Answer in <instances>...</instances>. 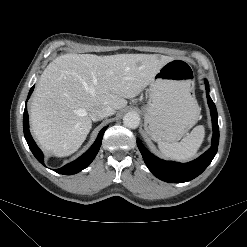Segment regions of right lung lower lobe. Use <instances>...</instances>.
<instances>
[{
  "label": "right lung lower lobe",
  "instance_id": "1",
  "mask_svg": "<svg viewBox=\"0 0 247 247\" xmlns=\"http://www.w3.org/2000/svg\"><path fill=\"white\" fill-rule=\"evenodd\" d=\"M34 89V86L30 89L28 98L30 97L32 91ZM108 128V126H105L99 133L96 141L94 144L77 160L59 168V169H54L59 174H64V175H72L80 172L81 170L85 169L95 158L96 154L99 151V148L102 143V138L105 130ZM23 129H24V136L25 139L29 145L30 150L32 151L33 155L36 157V159L44 165L43 161V154L41 150L37 147L35 144L34 140L32 139L30 132H29V123H28V113H27V108L25 107L24 110V116H23ZM45 166V165H44Z\"/></svg>",
  "mask_w": 247,
  "mask_h": 247
}]
</instances>
